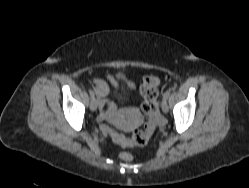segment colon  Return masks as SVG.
<instances>
[{"label":"colon","mask_w":249,"mask_h":188,"mask_svg":"<svg viewBox=\"0 0 249 188\" xmlns=\"http://www.w3.org/2000/svg\"><path fill=\"white\" fill-rule=\"evenodd\" d=\"M160 80L156 76H146L143 79L140 91L143 98L142 111L145 116V124L143 129L134 131L131 137H125L112 130L109 126H102L101 130L104 135L111 138L114 142L121 146H144L154 133L159 119L158 109V85ZM120 158L130 161L132 156L128 152L120 153Z\"/></svg>","instance_id":"1"}]
</instances>
